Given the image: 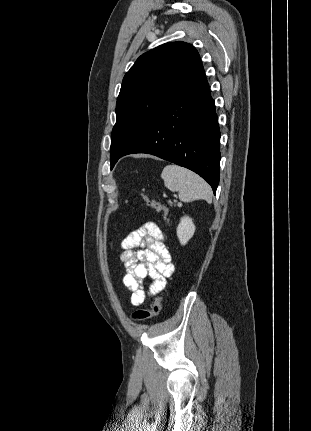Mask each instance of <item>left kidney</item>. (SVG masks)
I'll use <instances>...</instances> for the list:
<instances>
[{
	"label": "left kidney",
	"mask_w": 311,
	"mask_h": 431,
	"mask_svg": "<svg viewBox=\"0 0 311 431\" xmlns=\"http://www.w3.org/2000/svg\"><path fill=\"white\" fill-rule=\"evenodd\" d=\"M196 227L192 221V217L183 216L180 217V223L177 227V235L181 245H186L187 241L194 235Z\"/></svg>",
	"instance_id": "1"
}]
</instances>
